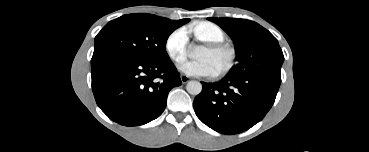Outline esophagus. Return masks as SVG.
I'll use <instances>...</instances> for the list:
<instances>
[{
	"mask_svg": "<svg viewBox=\"0 0 369 152\" xmlns=\"http://www.w3.org/2000/svg\"><path fill=\"white\" fill-rule=\"evenodd\" d=\"M180 79L182 81L183 84L187 83L189 81V77L186 75H181Z\"/></svg>",
	"mask_w": 369,
	"mask_h": 152,
	"instance_id": "34e87169",
	"label": "esophagus"
}]
</instances>
